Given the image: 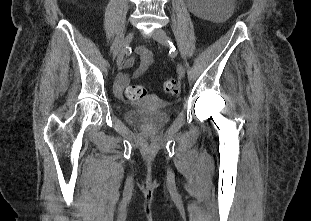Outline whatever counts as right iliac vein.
<instances>
[{
	"mask_svg": "<svg viewBox=\"0 0 311 221\" xmlns=\"http://www.w3.org/2000/svg\"><path fill=\"white\" fill-rule=\"evenodd\" d=\"M133 37H134V33L133 32H130L126 35L124 41H123V44L119 50V53H118V56H117V65L120 66L123 59H124V56L125 54L127 53L128 51V48L133 40Z\"/></svg>",
	"mask_w": 311,
	"mask_h": 221,
	"instance_id": "right-iliac-vein-1",
	"label": "right iliac vein"
}]
</instances>
